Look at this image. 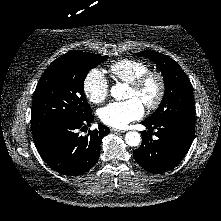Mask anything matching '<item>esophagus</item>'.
Wrapping results in <instances>:
<instances>
[{
    "mask_svg": "<svg viewBox=\"0 0 221 221\" xmlns=\"http://www.w3.org/2000/svg\"><path fill=\"white\" fill-rule=\"evenodd\" d=\"M110 130H111V132H114V133H124L125 132L124 130L115 129V128H111Z\"/></svg>",
    "mask_w": 221,
    "mask_h": 221,
    "instance_id": "esophagus-1",
    "label": "esophagus"
}]
</instances>
